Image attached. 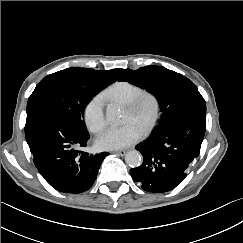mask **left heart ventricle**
I'll return each mask as SVG.
<instances>
[{
  "label": "left heart ventricle",
  "mask_w": 243,
  "mask_h": 243,
  "mask_svg": "<svg viewBox=\"0 0 243 243\" xmlns=\"http://www.w3.org/2000/svg\"><path fill=\"white\" fill-rule=\"evenodd\" d=\"M154 115V107L152 102L148 101L144 104L139 112H131L126 110L124 123H134L142 131L150 124Z\"/></svg>",
  "instance_id": "b2bd125f"
}]
</instances>
